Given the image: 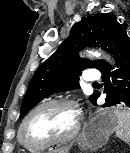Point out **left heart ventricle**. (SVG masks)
<instances>
[{
	"mask_svg": "<svg viewBox=\"0 0 130 153\" xmlns=\"http://www.w3.org/2000/svg\"><path fill=\"white\" fill-rule=\"evenodd\" d=\"M76 123L75 111L66 105H50L35 112L24 133L28 140L42 141L67 136Z\"/></svg>",
	"mask_w": 130,
	"mask_h": 153,
	"instance_id": "1",
	"label": "left heart ventricle"
}]
</instances>
